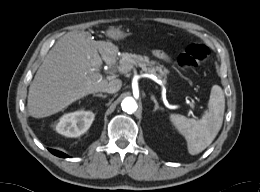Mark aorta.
I'll use <instances>...</instances> for the list:
<instances>
[{
    "label": "aorta",
    "mask_w": 260,
    "mask_h": 192,
    "mask_svg": "<svg viewBox=\"0 0 260 192\" xmlns=\"http://www.w3.org/2000/svg\"><path fill=\"white\" fill-rule=\"evenodd\" d=\"M121 107L124 112L132 114L137 110L138 105L133 97H126L122 100Z\"/></svg>",
    "instance_id": "1"
}]
</instances>
